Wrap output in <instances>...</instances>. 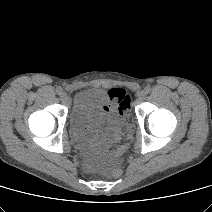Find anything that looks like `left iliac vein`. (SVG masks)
<instances>
[{"mask_svg":"<svg viewBox=\"0 0 212 212\" xmlns=\"http://www.w3.org/2000/svg\"><path fill=\"white\" fill-rule=\"evenodd\" d=\"M146 92L145 90H140L137 92V99L139 101L143 100L145 98Z\"/></svg>","mask_w":212,"mask_h":212,"instance_id":"1","label":"left iliac vein"}]
</instances>
